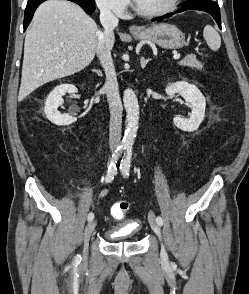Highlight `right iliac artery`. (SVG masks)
I'll list each match as a JSON object with an SVG mask.
<instances>
[{
    "label": "right iliac artery",
    "instance_id": "right-iliac-artery-1",
    "mask_svg": "<svg viewBox=\"0 0 249 294\" xmlns=\"http://www.w3.org/2000/svg\"><path fill=\"white\" fill-rule=\"evenodd\" d=\"M125 148L126 147L124 145H120L117 147V149L113 153L112 159H111L110 164L108 166V171H107V174L105 177L106 183H110L114 179V176L117 174V167H116L117 158H118L119 153ZM93 219H94V214L92 212H90L87 216V220L90 222ZM80 260H81V256L77 255L75 257V261L79 262Z\"/></svg>",
    "mask_w": 249,
    "mask_h": 294
}]
</instances>
